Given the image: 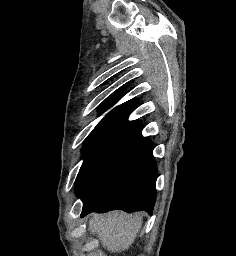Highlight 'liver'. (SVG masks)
I'll use <instances>...</instances> for the list:
<instances>
[{
  "mask_svg": "<svg viewBox=\"0 0 236 256\" xmlns=\"http://www.w3.org/2000/svg\"><path fill=\"white\" fill-rule=\"evenodd\" d=\"M142 226V216L139 214H124V212H109V214H93L88 224V230L97 234L102 248L110 254L124 252L132 246Z\"/></svg>",
  "mask_w": 236,
  "mask_h": 256,
  "instance_id": "6515ba94",
  "label": "liver"
}]
</instances>
